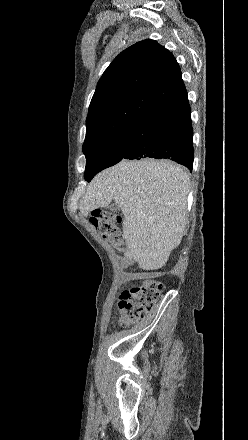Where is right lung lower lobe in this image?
<instances>
[{
    "instance_id": "1",
    "label": "right lung lower lobe",
    "mask_w": 248,
    "mask_h": 440,
    "mask_svg": "<svg viewBox=\"0 0 248 440\" xmlns=\"http://www.w3.org/2000/svg\"><path fill=\"white\" fill-rule=\"evenodd\" d=\"M128 133L123 159L167 158L192 170L193 129L187 94L145 115Z\"/></svg>"
}]
</instances>
